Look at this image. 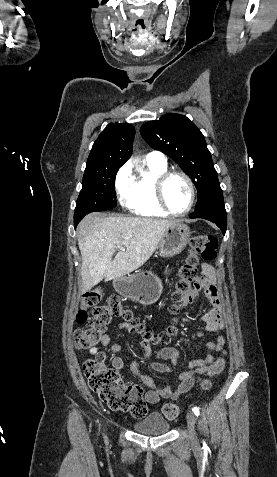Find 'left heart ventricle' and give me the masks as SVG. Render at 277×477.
<instances>
[{"mask_svg":"<svg viewBox=\"0 0 277 477\" xmlns=\"http://www.w3.org/2000/svg\"><path fill=\"white\" fill-rule=\"evenodd\" d=\"M165 196L170 208L176 212L183 211L190 201V190L181 176L171 177L165 187Z\"/></svg>","mask_w":277,"mask_h":477,"instance_id":"1","label":"left heart ventricle"}]
</instances>
